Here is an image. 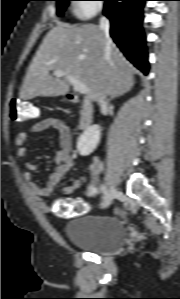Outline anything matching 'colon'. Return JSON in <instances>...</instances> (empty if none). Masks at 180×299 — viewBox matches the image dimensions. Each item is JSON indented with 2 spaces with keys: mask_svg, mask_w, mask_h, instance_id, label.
Segmentation results:
<instances>
[{
  "mask_svg": "<svg viewBox=\"0 0 180 299\" xmlns=\"http://www.w3.org/2000/svg\"><path fill=\"white\" fill-rule=\"evenodd\" d=\"M10 118L17 124H27L40 116V109L35 104L13 98L9 104ZM55 213L64 217H75L88 211V205L78 199L59 200L54 203Z\"/></svg>",
  "mask_w": 180,
  "mask_h": 299,
  "instance_id": "1",
  "label": "colon"
}]
</instances>
